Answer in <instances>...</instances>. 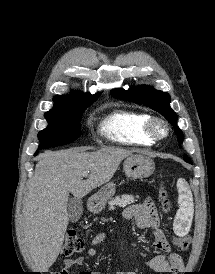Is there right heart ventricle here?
<instances>
[{
    "label": "right heart ventricle",
    "instance_id": "obj_1",
    "mask_svg": "<svg viewBox=\"0 0 215 274\" xmlns=\"http://www.w3.org/2000/svg\"><path fill=\"white\" fill-rule=\"evenodd\" d=\"M150 118L144 112L117 109L103 119L99 131L113 143L149 146L154 143L146 133V124Z\"/></svg>",
    "mask_w": 215,
    "mask_h": 274
}]
</instances>
